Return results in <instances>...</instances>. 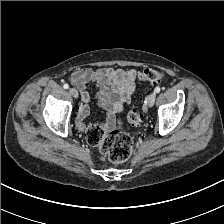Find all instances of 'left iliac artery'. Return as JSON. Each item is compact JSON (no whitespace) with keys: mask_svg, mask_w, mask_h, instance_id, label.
I'll list each match as a JSON object with an SVG mask.
<instances>
[{"mask_svg":"<svg viewBox=\"0 0 224 224\" xmlns=\"http://www.w3.org/2000/svg\"><path fill=\"white\" fill-rule=\"evenodd\" d=\"M161 91V88L158 86L155 88V93H159Z\"/></svg>","mask_w":224,"mask_h":224,"instance_id":"1","label":"left iliac artery"}]
</instances>
